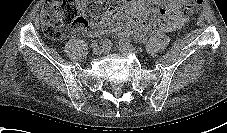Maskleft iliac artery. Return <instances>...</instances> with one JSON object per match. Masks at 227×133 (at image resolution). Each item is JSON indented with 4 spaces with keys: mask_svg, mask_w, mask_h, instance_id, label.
Segmentation results:
<instances>
[{
    "mask_svg": "<svg viewBox=\"0 0 227 133\" xmlns=\"http://www.w3.org/2000/svg\"><path fill=\"white\" fill-rule=\"evenodd\" d=\"M120 42H124V43H126V44H129L131 41H130V39H128V38H122L121 40H120Z\"/></svg>",
    "mask_w": 227,
    "mask_h": 133,
    "instance_id": "1",
    "label": "left iliac artery"
}]
</instances>
